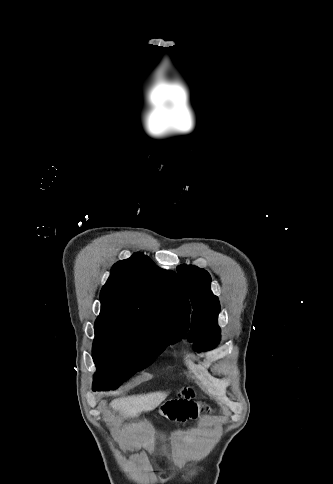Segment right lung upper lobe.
<instances>
[{
  "mask_svg": "<svg viewBox=\"0 0 333 484\" xmlns=\"http://www.w3.org/2000/svg\"><path fill=\"white\" fill-rule=\"evenodd\" d=\"M100 299L101 318L132 320L157 330L174 325L184 335L189 328L191 309L179 277L141 253L113 265Z\"/></svg>",
  "mask_w": 333,
  "mask_h": 484,
  "instance_id": "cb5924a9",
  "label": "right lung upper lobe"
}]
</instances>
